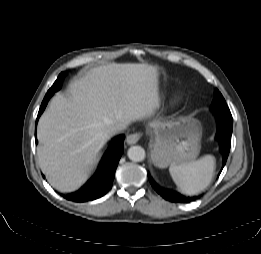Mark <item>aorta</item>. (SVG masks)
Listing matches in <instances>:
<instances>
[{"instance_id":"762f6f07","label":"aorta","mask_w":261,"mask_h":254,"mask_svg":"<svg viewBox=\"0 0 261 254\" xmlns=\"http://www.w3.org/2000/svg\"><path fill=\"white\" fill-rule=\"evenodd\" d=\"M128 158L134 162H141L145 159V150L141 146H132L127 152Z\"/></svg>"}]
</instances>
